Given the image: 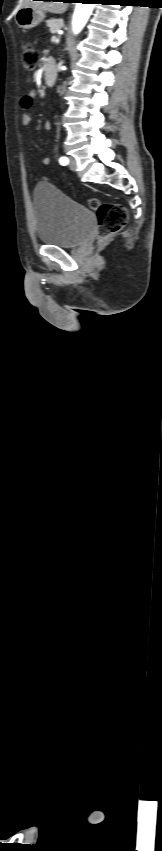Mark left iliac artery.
Listing matches in <instances>:
<instances>
[{
  "instance_id": "obj_1",
  "label": "left iliac artery",
  "mask_w": 162,
  "mask_h": 851,
  "mask_svg": "<svg viewBox=\"0 0 162 851\" xmlns=\"http://www.w3.org/2000/svg\"><path fill=\"white\" fill-rule=\"evenodd\" d=\"M59 162H60L61 165H67L69 163V160H68L67 157H61L59 159Z\"/></svg>"
}]
</instances>
